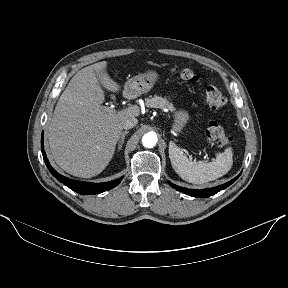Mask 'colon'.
Returning <instances> with one entry per match:
<instances>
[{"mask_svg": "<svg viewBox=\"0 0 288 288\" xmlns=\"http://www.w3.org/2000/svg\"><path fill=\"white\" fill-rule=\"evenodd\" d=\"M175 74L187 81H196L197 75L189 68L174 69ZM205 99L212 110H219L226 104V98L223 93L215 86L208 85L204 89ZM207 137L214 141L219 147L229 144L230 139L226 135L223 127L216 121H210L206 127Z\"/></svg>", "mask_w": 288, "mask_h": 288, "instance_id": "colon-1", "label": "colon"}]
</instances>
